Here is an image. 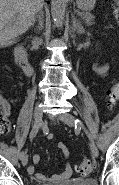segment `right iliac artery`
Wrapping results in <instances>:
<instances>
[{
    "mask_svg": "<svg viewBox=\"0 0 119 185\" xmlns=\"http://www.w3.org/2000/svg\"><path fill=\"white\" fill-rule=\"evenodd\" d=\"M36 116H37V113H34L33 118H36ZM37 132H38V129L35 128V127H33V129L30 132L29 139L32 140L36 136ZM24 154H25L24 151H21L20 152V154H19L20 159H22V157L24 156Z\"/></svg>",
    "mask_w": 119,
    "mask_h": 185,
    "instance_id": "right-iliac-artery-1",
    "label": "right iliac artery"
}]
</instances>
